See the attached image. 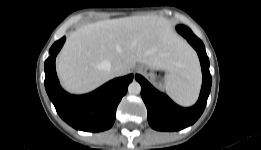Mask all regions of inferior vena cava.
<instances>
[{"instance_id": "1", "label": "inferior vena cava", "mask_w": 261, "mask_h": 150, "mask_svg": "<svg viewBox=\"0 0 261 150\" xmlns=\"http://www.w3.org/2000/svg\"><path fill=\"white\" fill-rule=\"evenodd\" d=\"M110 71L114 76H121L127 72V66L123 63H115L111 65Z\"/></svg>"}]
</instances>
